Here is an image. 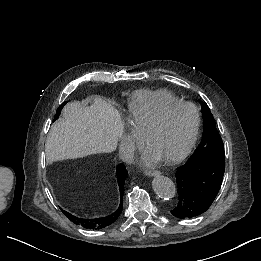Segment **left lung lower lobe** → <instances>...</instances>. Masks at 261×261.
I'll return each instance as SVG.
<instances>
[{"label": "left lung lower lobe", "mask_w": 261, "mask_h": 261, "mask_svg": "<svg viewBox=\"0 0 261 261\" xmlns=\"http://www.w3.org/2000/svg\"><path fill=\"white\" fill-rule=\"evenodd\" d=\"M225 171V157L193 154L175 173L178 202L171 214L179 219L206 212L217 196Z\"/></svg>", "instance_id": "0a47b994"}]
</instances>
